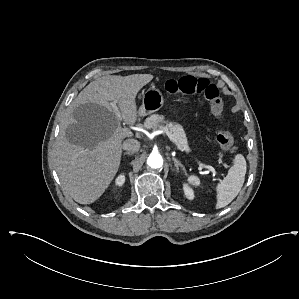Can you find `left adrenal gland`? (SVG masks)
<instances>
[{
	"instance_id": "left-adrenal-gland-1",
	"label": "left adrenal gland",
	"mask_w": 299,
	"mask_h": 299,
	"mask_svg": "<svg viewBox=\"0 0 299 299\" xmlns=\"http://www.w3.org/2000/svg\"><path fill=\"white\" fill-rule=\"evenodd\" d=\"M172 160L174 161V165L177 169V172L179 171V167L185 172V167L179 160H177L175 157H172Z\"/></svg>"
}]
</instances>
